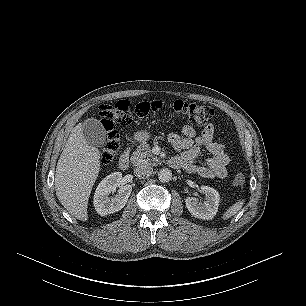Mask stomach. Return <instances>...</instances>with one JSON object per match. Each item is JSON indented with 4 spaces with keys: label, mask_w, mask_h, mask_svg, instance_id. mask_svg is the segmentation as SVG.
Instances as JSON below:
<instances>
[{
    "label": "stomach",
    "mask_w": 306,
    "mask_h": 306,
    "mask_svg": "<svg viewBox=\"0 0 306 306\" xmlns=\"http://www.w3.org/2000/svg\"><path fill=\"white\" fill-rule=\"evenodd\" d=\"M150 138V134L147 131H140L135 133L134 139L137 141H146Z\"/></svg>",
    "instance_id": "obj_1"
}]
</instances>
